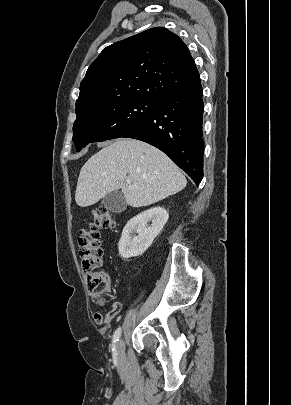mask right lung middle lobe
<instances>
[{
	"label": "right lung middle lobe",
	"mask_w": 291,
	"mask_h": 405,
	"mask_svg": "<svg viewBox=\"0 0 291 405\" xmlns=\"http://www.w3.org/2000/svg\"><path fill=\"white\" fill-rule=\"evenodd\" d=\"M156 106L155 99L127 97L81 108L73 125L76 150L124 136L144 123Z\"/></svg>",
	"instance_id": "right-lung-middle-lobe-1"
}]
</instances>
